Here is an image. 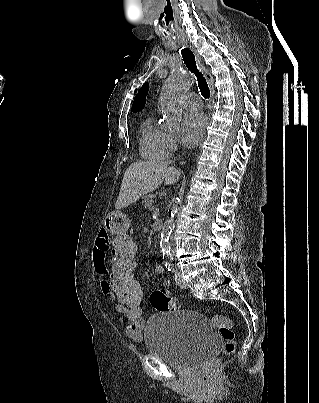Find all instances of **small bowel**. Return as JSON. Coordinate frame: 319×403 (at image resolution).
<instances>
[{"label": "small bowel", "instance_id": "1", "mask_svg": "<svg viewBox=\"0 0 319 403\" xmlns=\"http://www.w3.org/2000/svg\"><path fill=\"white\" fill-rule=\"evenodd\" d=\"M108 250H109V235L106 230H101L98 234V238L96 240V244L93 251V262L98 274L104 279L102 280V288L104 292L109 296L110 300H113V273L108 271ZM116 252V251H115ZM136 270V268H134ZM156 273L163 272L162 264L158 263L155 266ZM135 275V272H134ZM162 286L164 288H169L171 286V282L169 280H164L162 282ZM143 298V291H141ZM116 302V301H115ZM116 310L126 320V334L127 336L135 342H139L142 340V330L144 326V322L141 318V313H125L124 312V304H116Z\"/></svg>", "mask_w": 319, "mask_h": 403}]
</instances>
